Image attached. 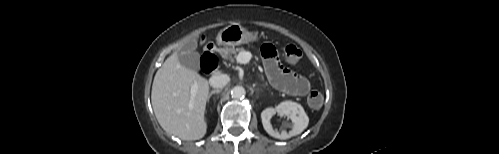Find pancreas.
<instances>
[{"mask_svg": "<svg viewBox=\"0 0 499 154\" xmlns=\"http://www.w3.org/2000/svg\"><path fill=\"white\" fill-rule=\"evenodd\" d=\"M245 51L243 47L241 48H225L221 50V55L223 58H225L227 61L233 62V56H235L237 53Z\"/></svg>", "mask_w": 499, "mask_h": 154, "instance_id": "cf45deb5", "label": "pancreas"}]
</instances>
